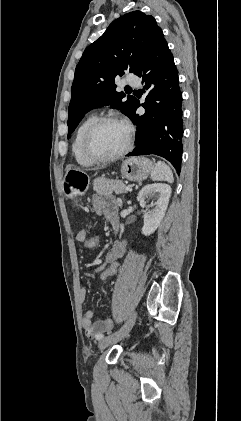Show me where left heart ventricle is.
<instances>
[{"label": "left heart ventricle", "instance_id": "1", "mask_svg": "<svg viewBox=\"0 0 241 421\" xmlns=\"http://www.w3.org/2000/svg\"><path fill=\"white\" fill-rule=\"evenodd\" d=\"M127 141V128L116 122L103 124L94 134L93 150L100 155H111L121 150Z\"/></svg>", "mask_w": 241, "mask_h": 421}]
</instances>
